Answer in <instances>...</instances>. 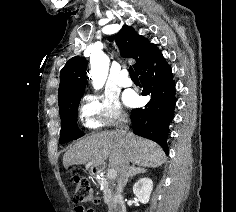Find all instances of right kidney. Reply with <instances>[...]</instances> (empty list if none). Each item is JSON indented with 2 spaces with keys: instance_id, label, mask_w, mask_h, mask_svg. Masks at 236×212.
Here are the masks:
<instances>
[{
  "instance_id": "1",
  "label": "right kidney",
  "mask_w": 236,
  "mask_h": 212,
  "mask_svg": "<svg viewBox=\"0 0 236 212\" xmlns=\"http://www.w3.org/2000/svg\"><path fill=\"white\" fill-rule=\"evenodd\" d=\"M152 189V180L148 177H144L134 184L133 193L141 203L146 204L149 202Z\"/></svg>"
}]
</instances>
